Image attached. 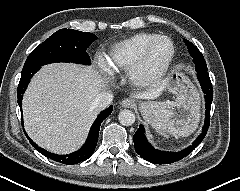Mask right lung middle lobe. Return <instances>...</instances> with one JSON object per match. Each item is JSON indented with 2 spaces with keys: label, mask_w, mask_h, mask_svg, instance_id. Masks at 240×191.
<instances>
[{
  "label": "right lung middle lobe",
  "mask_w": 240,
  "mask_h": 191,
  "mask_svg": "<svg viewBox=\"0 0 240 191\" xmlns=\"http://www.w3.org/2000/svg\"><path fill=\"white\" fill-rule=\"evenodd\" d=\"M96 39L89 32L58 30L30 53L22 71L54 62L90 64L86 49Z\"/></svg>",
  "instance_id": "obj_1"
}]
</instances>
